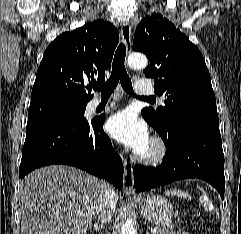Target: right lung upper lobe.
Returning <instances> with one entry per match:
<instances>
[{"label":"right lung upper lobe","instance_id":"right-lung-upper-lobe-1","mask_svg":"<svg viewBox=\"0 0 241 234\" xmlns=\"http://www.w3.org/2000/svg\"><path fill=\"white\" fill-rule=\"evenodd\" d=\"M118 41V30L104 20L59 35L44 52L30 105L48 101L87 104L93 97L90 84L104 81Z\"/></svg>","mask_w":241,"mask_h":234}]
</instances>
